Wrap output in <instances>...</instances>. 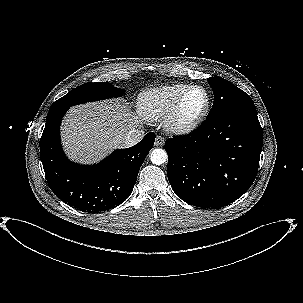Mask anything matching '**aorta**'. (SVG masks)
<instances>
[{
  "label": "aorta",
  "instance_id": "obj_1",
  "mask_svg": "<svg viewBox=\"0 0 303 303\" xmlns=\"http://www.w3.org/2000/svg\"><path fill=\"white\" fill-rule=\"evenodd\" d=\"M151 162L155 165H161L168 160V155L165 150L157 148L151 152Z\"/></svg>",
  "mask_w": 303,
  "mask_h": 303
}]
</instances>
